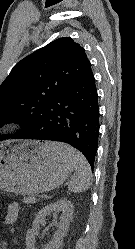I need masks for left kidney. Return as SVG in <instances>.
Instances as JSON below:
<instances>
[{
	"label": "left kidney",
	"mask_w": 135,
	"mask_h": 249,
	"mask_svg": "<svg viewBox=\"0 0 135 249\" xmlns=\"http://www.w3.org/2000/svg\"><path fill=\"white\" fill-rule=\"evenodd\" d=\"M73 211V204L66 198L60 199L42 208L36 214L32 228L26 233V249H37V247H35V231L39 225L45 221L46 216L50 215L51 213L55 214L57 212H61L58 230L53 235L51 241L42 247V249H59L63 238L67 234Z\"/></svg>",
	"instance_id": "1"
}]
</instances>
